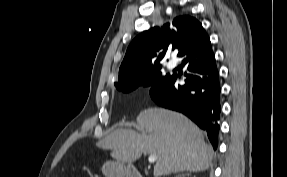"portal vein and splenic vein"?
Listing matches in <instances>:
<instances>
[{
  "label": "portal vein and splenic vein",
  "mask_w": 287,
  "mask_h": 177,
  "mask_svg": "<svg viewBox=\"0 0 287 177\" xmlns=\"http://www.w3.org/2000/svg\"><path fill=\"white\" fill-rule=\"evenodd\" d=\"M156 160H157V156L156 155H149V157H148V162L149 163H154V162H156Z\"/></svg>",
  "instance_id": "18ae733b"
}]
</instances>
